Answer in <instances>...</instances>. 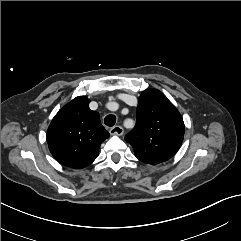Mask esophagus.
Returning a JSON list of instances; mask_svg holds the SVG:
<instances>
[{
  "label": "esophagus",
  "instance_id": "1",
  "mask_svg": "<svg viewBox=\"0 0 241 241\" xmlns=\"http://www.w3.org/2000/svg\"><path fill=\"white\" fill-rule=\"evenodd\" d=\"M110 134L111 135H122L124 132V129L121 126H114L110 129Z\"/></svg>",
  "mask_w": 241,
  "mask_h": 241
}]
</instances>
